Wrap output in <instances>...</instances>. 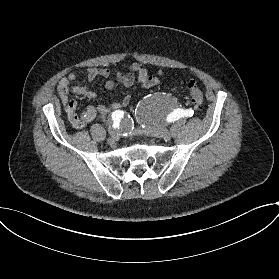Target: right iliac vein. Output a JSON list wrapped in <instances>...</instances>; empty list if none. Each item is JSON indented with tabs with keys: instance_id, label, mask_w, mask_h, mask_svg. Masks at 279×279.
<instances>
[{
	"instance_id": "right-iliac-vein-1",
	"label": "right iliac vein",
	"mask_w": 279,
	"mask_h": 279,
	"mask_svg": "<svg viewBox=\"0 0 279 279\" xmlns=\"http://www.w3.org/2000/svg\"><path fill=\"white\" fill-rule=\"evenodd\" d=\"M109 135H110V137H111L112 139H116V138H117V132H116V130L111 129V130L109 131Z\"/></svg>"
}]
</instances>
